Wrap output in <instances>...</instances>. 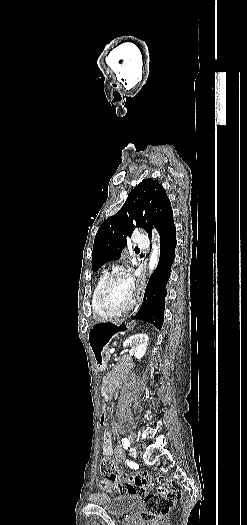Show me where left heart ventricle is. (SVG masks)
<instances>
[{
  "mask_svg": "<svg viewBox=\"0 0 247 525\" xmlns=\"http://www.w3.org/2000/svg\"><path fill=\"white\" fill-rule=\"evenodd\" d=\"M131 283L124 277L114 278L101 294V300L112 303H124L130 296Z\"/></svg>",
  "mask_w": 247,
  "mask_h": 525,
  "instance_id": "b2bd125f",
  "label": "left heart ventricle"
}]
</instances>
